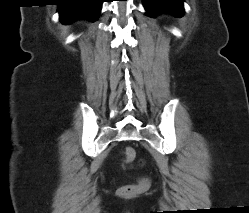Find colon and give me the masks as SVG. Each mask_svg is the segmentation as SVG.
Listing matches in <instances>:
<instances>
[{
    "instance_id": "obj_1",
    "label": "colon",
    "mask_w": 249,
    "mask_h": 213,
    "mask_svg": "<svg viewBox=\"0 0 249 213\" xmlns=\"http://www.w3.org/2000/svg\"><path fill=\"white\" fill-rule=\"evenodd\" d=\"M124 156H125L126 162L132 161L135 157L134 149L131 147H126L124 149ZM136 191H137V189L134 186H124V187L119 189V194L121 196L127 197V196L133 195Z\"/></svg>"
}]
</instances>
